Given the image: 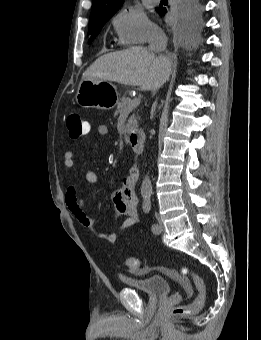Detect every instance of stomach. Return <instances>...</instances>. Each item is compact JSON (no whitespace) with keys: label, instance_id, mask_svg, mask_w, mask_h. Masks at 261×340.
Wrapping results in <instances>:
<instances>
[{"label":"stomach","instance_id":"1","mask_svg":"<svg viewBox=\"0 0 261 340\" xmlns=\"http://www.w3.org/2000/svg\"><path fill=\"white\" fill-rule=\"evenodd\" d=\"M75 99L83 108L110 110L119 102L120 94L111 82L88 78L81 81Z\"/></svg>","mask_w":261,"mask_h":340}]
</instances>
